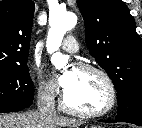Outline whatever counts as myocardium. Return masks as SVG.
Wrapping results in <instances>:
<instances>
[{
  "label": "myocardium",
  "mask_w": 142,
  "mask_h": 128,
  "mask_svg": "<svg viewBox=\"0 0 142 128\" xmlns=\"http://www.w3.org/2000/svg\"><path fill=\"white\" fill-rule=\"evenodd\" d=\"M76 69L81 70V71H89V72H95L97 74H99L105 81L108 90H109V101L107 103V105L98 111H83L77 108H74L72 106H70L65 99V92L63 93V95L60 98V107L65 110L68 113L80 116V117H84V118H96V117H101L104 116L108 113H110L116 103H117V90L115 87V84L112 80V78L110 77V75L100 66L94 65V64H90V63H78L76 64Z\"/></svg>",
  "instance_id": "f54148a6"
}]
</instances>
